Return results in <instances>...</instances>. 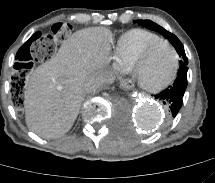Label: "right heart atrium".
Masks as SVG:
<instances>
[{
	"label": "right heart atrium",
	"instance_id": "d8ad5b80",
	"mask_svg": "<svg viewBox=\"0 0 215 183\" xmlns=\"http://www.w3.org/2000/svg\"><path fill=\"white\" fill-rule=\"evenodd\" d=\"M115 66H116L117 68L121 67V64H120V62H119L118 60L116 61Z\"/></svg>",
	"mask_w": 215,
	"mask_h": 183
}]
</instances>
